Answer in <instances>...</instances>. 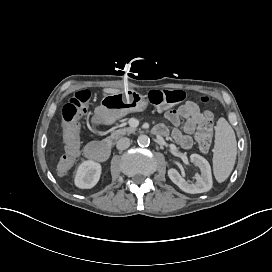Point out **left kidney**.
Here are the masks:
<instances>
[{
    "label": "left kidney",
    "mask_w": 272,
    "mask_h": 272,
    "mask_svg": "<svg viewBox=\"0 0 272 272\" xmlns=\"http://www.w3.org/2000/svg\"><path fill=\"white\" fill-rule=\"evenodd\" d=\"M190 160L195 166L199 167L201 171V175L198 173L195 174L196 183H188L179 172L173 168L168 170L169 178L186 193L196 194L209 191L212 188L213 181L211 167L208 161L198 154H191Z\"/></svg>",
    "instance_id": "1"
}]
</instances>
